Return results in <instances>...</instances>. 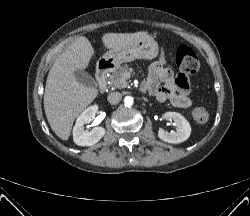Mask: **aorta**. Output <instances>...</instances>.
Returning a JSON list of instances; mask_svg holds the SVG:
<instances>
[{
	"label": "aorta",
	"instance_id": "obj_1",
	"mask_svg": "<svg viewBox=\"0 0 250 216\" xmlns=\"http://www.w3.org/2000/svg\"><path fill=\"white\" fill-rule=\"evenodd\" d=\"M124 103L126 107H130L133 105V98L130 96L125 97Z\"/></svg>",
	"mask_w": 250,
	"mask_h": 216
}]
</instances>
